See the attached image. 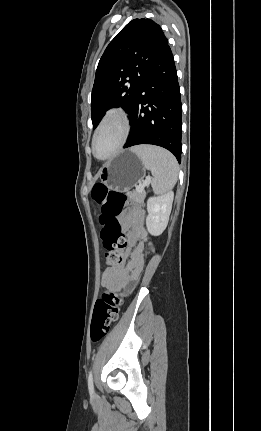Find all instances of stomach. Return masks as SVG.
I'll use <instances>...</instances> for the list:
<instances>
[{
    "label": "stomach",
    "mask_w": 261,
    "mask_h": 431,
    "mask_svg": "<svg viewBox=\"0 0 261 431\" xmlns=\"http://www.w3.org/2000/svg\"><path fill=\"white\" fill-rule=\"evenodd\" d=\"M145 176L141 159L130 149L121 151L100 170V179L109 188L128 191L140 183Z\"/></svg>",
    "instance_id": "1"
}]
</instances>
